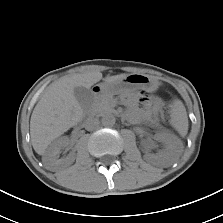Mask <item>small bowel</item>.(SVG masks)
Returning a JSON list of instances; mask_svg holds the SVG:
<instances>
[{"label": "small bowel", "mask_w": 223, "mask_h": 223, "mask_svg": "<svg viewBox=\"0 0 223 223\" xmlns=\"http://www.w3.org/2000/svg\"><path fill=\"white\" fill-rule=\"evenodd\" d=\"M141 102L148 104L151 113H156L161 107V101L156 97L145 98L144 100H141Z\"/></svg>", "instance_id": "1"}]
</instances>
